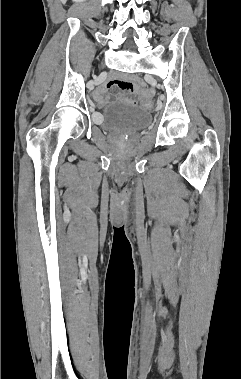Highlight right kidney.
I'll list each match as a JSON object with an SVG mask.
<instances>
[{"label":"right kidney","mask_w":241,"mask_h":379,"mask_svg":"<svg viewBox=\"0 0 241 379\" xmlns=\"http://www.w3.org/2000/svg\"><path fill=\"white\" fill-rule=\"evenodd\" d=\"M74 2H82L83 0H73Z\"/></svg>","instance_id":"obj_1"}]
</instances>
